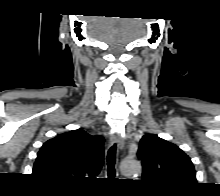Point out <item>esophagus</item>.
I'll return each instance as SVG.
<instances>
[{
  "label": "esophagus",
  "mask_w": 220,
  "mask_h": 196,
  "mask_svg": "<svg viewBox=\"0 0 220 196\" xmlns=\"http://www.w3.org/2000/svg\"><path fill=\"white\" fill-rule=\"evenodd\" d=\"M110 143L111 144H117L120 149L123 148V140L120 137V134L118 132L111 135Z\"/></svg>",
  "instance_id": "34e87169"
}]
</instances>
